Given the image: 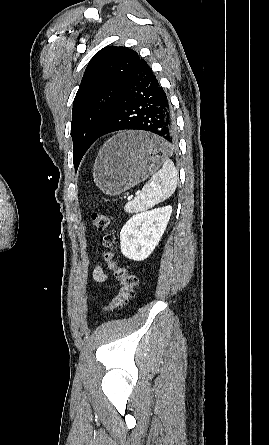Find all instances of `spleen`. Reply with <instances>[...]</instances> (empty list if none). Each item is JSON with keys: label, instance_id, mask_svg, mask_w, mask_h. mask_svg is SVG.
<instances>
[{"label": "spleen", "instance_id": "obj_1", "mask_svg": "<svg viewBox=\"0 0 269 445\" xmlns=\"http://www.w3.org/2000/svg\"><path fill=\"white\" fill-rule=\"evenodd\" d=\"M177 182V170L173 162L166 158L162 168L143 186L141 194L125 205V211L138 213L154 207L173 195Z\"/></svg>", "mask_w": 269, "mask_h": 445}]
</instances>
